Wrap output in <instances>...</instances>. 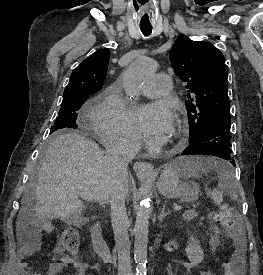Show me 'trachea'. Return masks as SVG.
Wrapping results in <instances>:
<instances>
[{"label":"trachea","instance_id":"trachea-1","mask_svg":"<svg viewBox=\"0 0 263 275\" xmlns=\"http://www.w3.org/2000/svg\"><path fill=\"white\" fill-rule=\"evenodd\" d=\"M140 29L145 36H149L152 33V27H140Z\"/></svg>","mask_w":263,"mask_h":275}]
</instances>
